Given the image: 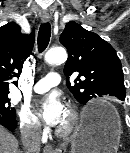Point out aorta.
Segmentation results:
<instances>
[{
	"instance_id": "1",
	"label": "aorta",
	"mask_w": 130,
	"mask_h": 153,
	"mask_svg": "<svg viewBox=\"0 0 130 153\" xmlns=\"http://www.w3.org/2000/svg\"><path fill=\"white\" fill-rule=\"evenodd\" d=\"M67 60L66 51L61 48H52L45 54V61L51 65H60Z\"/></svg>"
}]
</instances>
